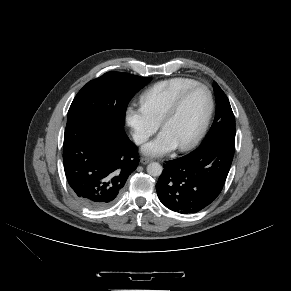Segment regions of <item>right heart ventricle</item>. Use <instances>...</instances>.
Segmentation results:
<instances>
[{
  "label": "right heart ventricle",
  "instance_id": "1",
  "mask_svg": "<svg viewBox=\"0 0 291 291\" xmlns=\"http://www.w3.org/2000/svg\"><path fill=\"white\" fill-rule=\"evenodd\" d=\"M197 83L194 79L187 77H174L159 81L142 93L141 105L155 120L160 122L176 97L183 90Z\"/></svg>",
  "mask_w": 291,
  "mask_h": 291
}]
</instances>
